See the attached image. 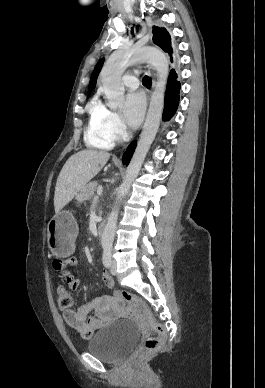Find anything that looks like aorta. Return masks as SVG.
<instances>
[{"instance_id":"762f6f07","label":"aorta","mask_w":265,"mask_h":388,"mask_svg":"<svg viewBox=\"0 0 265 388\" xmlns=\"http://www.w3.org/2000/svg\"><path fill=\"white\" fill-rule=\"evenodd\" d=\"M135 62H148L154 66L157 71V81L140 139L117 194L118 201L128 193L156 136L163 113L165 91L169 75L168 59L165 54L158 49L145 47L129 51L114 52L101 72L104 93L108 99V107L111 109H116L123 105L125 90L121 83V76L126 67ZM117 219L118 209L115 207L108 217L107 224L102 234L101 243L103 247L112 246Z\"/></svg>"}]
</instances>
